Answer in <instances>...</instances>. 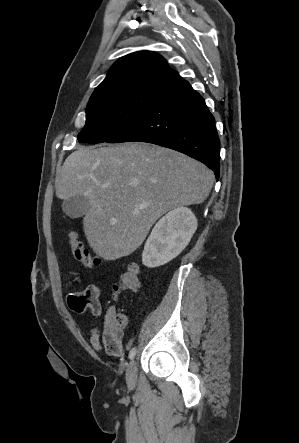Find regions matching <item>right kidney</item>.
Wrapping results in <instances>:
<instances>
[{
    "mask_svg": "<svg viewBox=\"0 0 299 443\" xmlns=\"http://www.w3.org/2000/svg\"><path fill=\"white\" fill-rule=\"evenodd\" d=\"M197 225L195 215L186 207L168 212L155 224L146 240L143 264L155 268L177 257L190 242Z\"/></svg>",
    "mask_w": 299,
    "mask_h": 443,
    "instance_id": "right-kidney-1",
    "label": "right kidney"
}]
</instances>
